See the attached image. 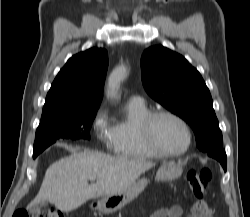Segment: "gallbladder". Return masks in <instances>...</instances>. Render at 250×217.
<instances>
[{
    "label": "gallbladder",
    "mask_w": 250,
    "mask_h": 217,
    "mask_svg": "<svg viewBox=\"0 0 250 217\" xmlns=\"http://www.w3.org/2000/svg\"><path fill=\"white\" fill-rule=\"evenodd\" d=\"M47 205V202L46 201H43V202H40L38 204H35L33 205L31 208H30V212L33 213V214H36L37 212L40 211V209L42 207H45Z\"/></svg>",
    "instance_id": "bac80fb5"
}]
</instances>
